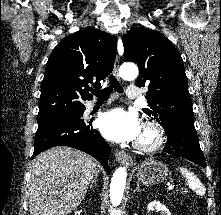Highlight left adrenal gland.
<instances>
[{
  "mask_svg": "<svg viewBox=\"0 0 221 215\" xmlns=\"http://www.w3.org/2000/svg\"><path fill=\"white\" fill-rule=\"evenodd\" d=\"M142 190L139 188V183H137L136 185V189L133 191V193L135 192H141Z\"/></svg>",
  "mask_w": 221,
  "mask_h": 215,
  "instance_id": "a2214340",
  "label": "left adrenal gland"
}]
</instances>
